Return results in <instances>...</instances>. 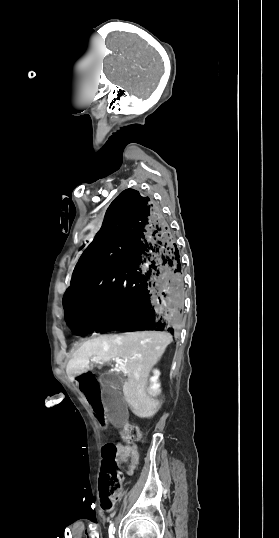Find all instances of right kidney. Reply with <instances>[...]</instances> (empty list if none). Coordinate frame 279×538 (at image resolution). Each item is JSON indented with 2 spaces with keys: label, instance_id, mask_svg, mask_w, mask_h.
I'll list each match as a JSON object with an SVG mask.
<instances>
[{
  "label": "right kidney",
  "instance_id": "ca27d5eb",
  "mask_svg": "<svg viewBox=\"0 0 279 538\" xmlns=\"http://www.w3.org/2000/svg\"><path fill=\"white\" fill-rule=\"evenodd\" d=\"M154 374H155L154 378H151V382H153L151 388L152 390H155V392H158V388H160V386L159 384H157V380H158V376H160V372H157V370H155Z\"/></svg>",
  "mask_w": 279,
  "mask_h": 538
}]
</instances>
